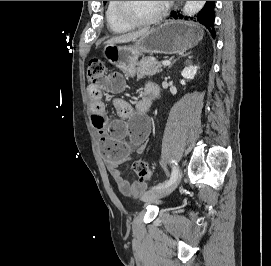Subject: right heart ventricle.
Wrapping results in <instances>:
<instances>
[{
    "mask_svg": "<svg viewBox=\"0 0 271 266\" xmlns=\"http://www.w3.org/2000/svg\"><path fill=\"white\" fill-rule=\"evenodd\" d=\"M105 18L110 30L117 34L129 32L133 27L124 23L116 13V1H108Z\"/></svg>",
    "mask_w": 271,
    "mask_h": 266,
    "instance_id": "right-heart-ventricle-1",
    "label": "right heart ventricle"
}]
</instances>
